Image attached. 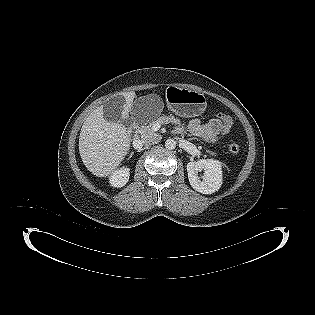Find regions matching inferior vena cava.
Wrapping results in <instances>:
<instances>
[{
	"label": "inferior vena cava",
	"instance_id": "obj_1",
	"mask_svg": "<svg viewBox=\"0 0 315 315\" xmlns=\"http://www.w3.org/2000/svg\"><path fill=\"white\" fill-rule=\"evenodd\" d=\"M161 140L160 135H149L146 137H143L141 140V143L143 145H152V144H156Z\"/></svg>",
	"mask_w": 315,
	"mask_h": 315
}]
</instances>
